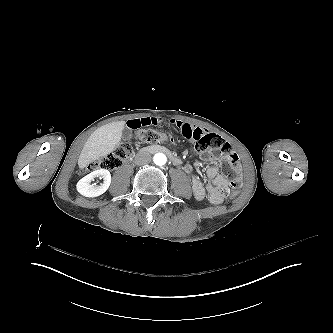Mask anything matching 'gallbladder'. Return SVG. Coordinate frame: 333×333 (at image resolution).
<instances>
[{"label":"gallbladder","mask_w":333,"mask_h":333,"mask_svg":"<svg viewBox=\"0 0 333 333\" xmlns=\"http://www.w3.org/2000/svg\"><path fill=\"white\" fill-rule=\"evenodd\" d=\"M132 137V130L129 129L128 127H124L122 131V139L123 140H129Z\"/></svg>","instance_id":"bac80fb5"}]
</instances>
